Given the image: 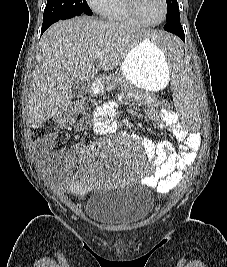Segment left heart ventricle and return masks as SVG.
<instances>
[{"label":"left heart ventricle","instance_id":"obj_1","mask_svg":"<svg viewBox=\"0 0 227 267\" xmlns=\"http://www.w3.org/2000/svg\"><path fill=\"white\" fill-rule=\"evenodd\" d=\"M138 9L148 22H158L163 15L161 0H139Z\"/></svg>","mask_w":227,"mask_h":267}]
</instances>
